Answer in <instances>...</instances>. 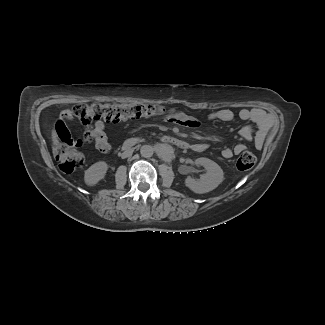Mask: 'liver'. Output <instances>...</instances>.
<instances>
[{
    "instance_id": "6515ba94",
    "label": "liver",
    "mask_w": 325,
    "mask_h": 325,
    "mask_svg": "<svg viewBox=\"0 0 325 325\" xmlns=\"http://www.w3.org/2000/svg\"><path fill=\"white\" fill-rule=\"evenodd\" d=\"M52 140L55 144H57V137H56V133L54 131H52Z\"/></svg>"
}]
</instances>
